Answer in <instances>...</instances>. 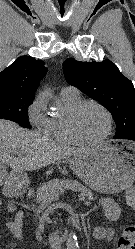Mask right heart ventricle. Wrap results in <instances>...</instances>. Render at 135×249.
<instances>
[{
	"mask_svg": "<svg viewBox=\"0 0 135 249\" xmlns=\"http://www.w3.org/2000/svg\"><path fill=\"white\" fill-rule=\"evenodd\" d=\"M82 102L80 96L60 94L58 103L63 109L62 114H57L49 119L46 135L56 142L65 145L78 144L72 137L68 127V117L71 111Z\"/></svg>",
	"mask_w": 135,
	"mask_h": 249,
	"instance_id": "right-heart-ventricle-1",
	"label": "right heart ventricle"
}]
</instances>
